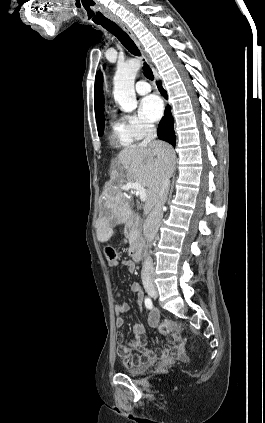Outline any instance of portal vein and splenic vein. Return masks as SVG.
<instances>
[{
  "label": "portal vein and splenic vein",
  "mask_w": 265,
  "mask_h": 423,
  "mask_svg": "<svg viewBox=\"0 0 265 423\" xmlns=\"http://www.w3.org/2000/svg\"><path fill=\"white\" fill-rule=\"evenodd\" d=\"M122 189L126 191H129V190L136 191V195L139 196L142 202H145L147 199L145 189L137 182H128L125 185H123Z\"/></svg>",
  "instance_id": "obj_1"
}]
</instances>
